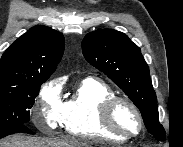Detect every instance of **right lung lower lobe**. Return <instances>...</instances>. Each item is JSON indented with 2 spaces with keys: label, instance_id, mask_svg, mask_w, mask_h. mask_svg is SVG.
I'll return each mask as SVG.
<instances>
[{
  "label": "right lung lower lobe",
  "instance_id": "1",
  "mask_svg": "<svg viewBox=\"0 0 183 147\" xmlns=\"http://www.w3.org/2000/svg\"><path fill=\"white\" fill-rule=\"evenodd\" d=\"M28 133V134H34L30 129L27 128L26 125H17L10 128L5 129L2 133H0V138H3L5 136L14 134V133Z\"/></svg>",
  "mask_w": 183,
  "mask_h": 147
}]
</instances>
